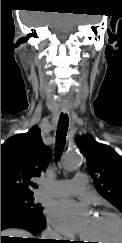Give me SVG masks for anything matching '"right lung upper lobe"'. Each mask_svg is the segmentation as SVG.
Masks as SVG:
<instances>
[{"label": "right lung upper lobe", "mask_w": 122, "mask_h": 243, "mask_svg": "<svg viewBox=\"0 0 122 243\" xmlns=\"http://www.w3.org/2000/svg\"><path fill=\"white\" fill-rule=\"evenodd\" d=\"M50 156L36 126L7 139L1 145V198L33 195L31 178L40 176Z\"/></svg>", "instance_id": "1"}]
</instances>
